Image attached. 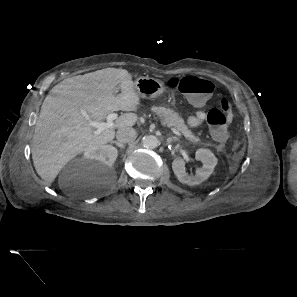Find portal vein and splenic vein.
<instances>
[{
    "label": "portal vein and splenic vein",
    "mask_w": 297,
    "mask_h": 297,
    "mask_svg": "<svg viewBox=\"0 0 297 297\" xmlns=\"http://www.w3.org/2000/svg\"><path fill=\"white\" fill-rule=\"evenodd\" d=\"M82 114H83L85 117H88V115H87V113H86L85 111H82ZM117 117H118V115H117L116 113H110V114L107 116V122H102V123L91 122L90 124H91L93 127L97 128V130L95 131V135L101 133L103 130H106V129H108V128L113 127V126H114L113 121H114L115 119H117ZM171 130H172V132H173L175 135L181 137V133H180L177 129L171 127Z\"/></svg>",
    "instance_id": "obj_1"
}]
</instances>
